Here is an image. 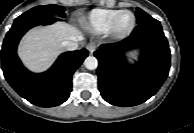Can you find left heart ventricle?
Instances as JSON below:
<instances>
[{
    "mask_svg": "<svg viewBox=\"0 0 194 133\" xmlns=\"http://www.w3.org/2000/svg\"><path fill=\"white\" fill-rule=\"evenodd\" d=\"M133 19L129 13H123L117 20L116 31L119 33L126 32L132 25Z\"/></svg>",
    "mask_w": 194,
    "mask_h": 133,
    "instance_id": "left-heart-ventricle-1",
    "label": "left heart ventricle"
}]
</instances>
